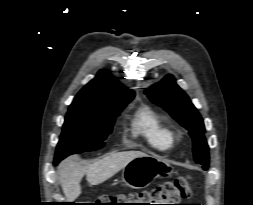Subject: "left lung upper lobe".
I'll return each mask as SVG.
<instances>
[{"label": "left lung upper lobe", "mask_w": 253, "mask_h": 205, "mask_svg": "<svg viewBox=\"0 0 253 205\" xmlns=\"http://www.w3.org/2000/svg\"><path fill=\"white\" fill-rule=\"evenodd\" d=\"M146 94L189 131L193 138L194 159L206 170L209 163V148L204 137L203 120L188 96L177 86L174 77L167 75L161 82L151 86Z\"/></svg>", "instance_id": "obj_1"}]
</instances>
